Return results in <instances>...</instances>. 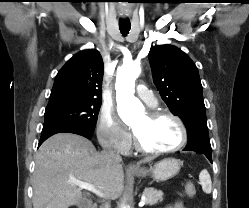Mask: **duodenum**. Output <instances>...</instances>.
Masks as SVG:
<instances>
[{"label": "duodenum", "instance_id": "obj_1", "mask_svg": "<svg viewBox=\"0 0 249 208\" xmlns=\"http://www.w3.org/2000/svg\"><path fill=\"white\" fill-rule=\"evenodd\" d=\"M89 208H97V206L96 205H92Z\"/></svg>", "mask_w": 249, "mask_h": 208}]
</instances>
